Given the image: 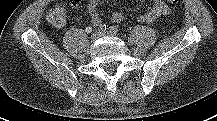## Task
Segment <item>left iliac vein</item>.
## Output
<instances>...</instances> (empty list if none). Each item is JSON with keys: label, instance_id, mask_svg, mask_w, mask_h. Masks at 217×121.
Returning <instances> with one entry per match:
<instances>
[{"label": "left iliac vein", "instance_id": "1", "mask_svg": "<svg viewBox=\"0 0 217 121\" xmlns=\"http://www.w3.org/2000/svg\"><path fill=\"white\" fill-rule=\"evenodd\" d=\"M102 35H103V36H106V35H108V36H109V35H110V36H113V35H115V34H113V33L110 32V31H105V32L102 33Z\"/></svg>", "mask_w": 217, "mask_h": 121}]
</instances>
